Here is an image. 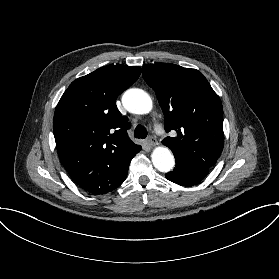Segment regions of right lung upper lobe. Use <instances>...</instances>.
I'll list each match as a JSON object with an SVG mask.
<instances>
[{
  "instance_id": "1",
  "label": "right lung upper lobe",
  "mask_w": 279,
  "mask_h": 279,
  "mask_svg": "<svg viewBox=\"0 0 279 279\" xmlns=\"http://www.w3.org/2000/svg\"><path fill=\"white\" fill-rule=\"evenodd\" d=\"M137 66L108 65L73 81L54 114L53 131L60 160L82 189L100 195L126 179L141 150L128 137L127 117L117 96L140 76Z\"/></svg>"
}]
</instances>
